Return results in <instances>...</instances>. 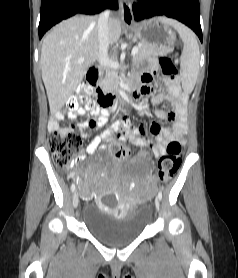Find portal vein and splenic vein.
<instances>
[{
	"mask_svg": "<svg viewBox=\"0 0 238 278\" xmlns=\"http://www.w3.org/2000/svg\"><path fill=\"white\" fill-rule=\"evenodd\" d=\"M138 50H139V48H138L137 46H135V47L132 49L131 55H132V56H135V55L137 54ZM84 59H85L84 57L80 58V59H79V62H83Z\"/></svg>",
	"mask_w": 238,
	"mask_h": 278,
	"instance_id": "18ae733b",
	"label": "portal vein and splenic vein"
}]
</instances>
